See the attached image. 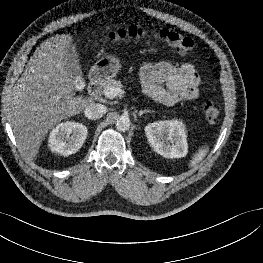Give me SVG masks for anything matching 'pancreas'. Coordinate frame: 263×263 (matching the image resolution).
<instances>
[{
	"instance_id": "pancreas-1",
	"label": "pancreas",
	"mask_w": 263,
	"mask_h": 263,
	"mask_svg": "<svg viewBox=\"0 0 263 263\" xmlns=\"http://www.w3.org/2000/svg\"><path fill=\"white\" fill-rule=\"evenodd\" d=\"M112 87H119V88H122L123 85L121 83V81L119 80H115V79H108L106 80L101 89H100V94H105V91L109 88H112Z\"/></svg>"
}]
</instances>
